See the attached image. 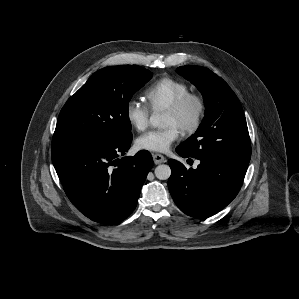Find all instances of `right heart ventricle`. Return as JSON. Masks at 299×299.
Instances as JSON below:
<instances>
[{
  "label": "right heart ventricle",
  "mask_w": 299,
  "mask_h": 299,
  "mask_svg": "<svg viewBox=\"0 0 299 299\" xmlns=\"http://www.w3.org/2000/svg\"><path fill=\"white\" fill-rule=\"evenodd\" d=\"M190 92L189 86L180 80L165 77L150 85L144 92L150 110H165L177 99Z\"/></svg>",
  "instance_id": "right-heart-ventricle-1"
}]
</instances>
